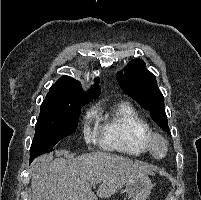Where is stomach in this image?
Instances as JSON below:
<instances>
[{"label":"stomach","mask_w":201,"mask_h":200,"mask_svg":"<svg viewBox=\"0 0 201 200\" xmlns=\"http://www.w3.org/2000/svg\"><path fill=\"white\" fill-rule=\"evenodd\" d=\"M152 183L147 175L127 181L125 191L131 200H146L151 193Z\"/></svg>","instance_id":"0dacf381"}]
</instances>
